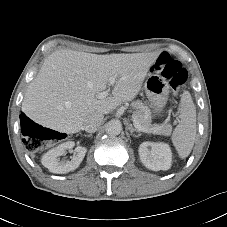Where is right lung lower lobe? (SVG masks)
Listing matches in <instances>:
<instances>
[{"label":"right lung lower lobe","instance_id":"1","mask_svg":"<svg viewBox=\"0 0 227 227\" xmlns=\"http://www.w3.org/2000/svg\"><path fill=\"white\" fill-rule=\"evenodd\" d=\"M20 121H21V129L24 130L29 124L34 123L29 118L25 116V114L20 115Z\"/></svg>","mask_w":227,"mask_h":227}]
</instances>
